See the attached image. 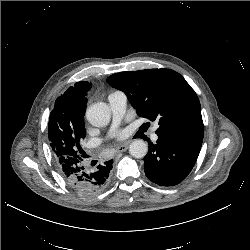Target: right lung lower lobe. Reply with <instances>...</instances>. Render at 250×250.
<instances>
[{
  "instance_id": "98d812e1",
  "label": "right lung lower lobe",
  "mask_w": 250,
  "mask_h": 250,
  "mask_svg": "<svg viewBox=\"0 0 250 250\" xmlns=\"http://www.w3.org/2000/svg\"><path fill=\"white\" fill-rule=\"evenodd\" d=\"M71 159L61 157L56 160L59 173L70 186L83 195L98 193L106 187L112 169V160L89 169L82 165V158Z\"/></svg>"
}]
</instances>
